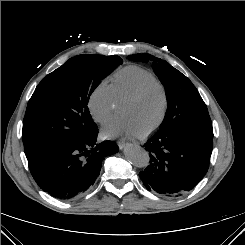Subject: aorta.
Segmentation results:
<instances>
[{
	"instance_id": "762f6f07",
	"label": "aorta",
	"mask_w": 245,
	"mask_h": 245,
	"mask_svg": "<svg viewBox=\"0 0 245 245\" xmlns=\"http://www.w3.org/2000/svg\"><path fill=\"white\" fill-rule=\"evenodd\" d=\"M124 154L126 159L135 167L144 168L149 164V153L139 145L128 144Z\"/></svg>"
}]
</instances>
